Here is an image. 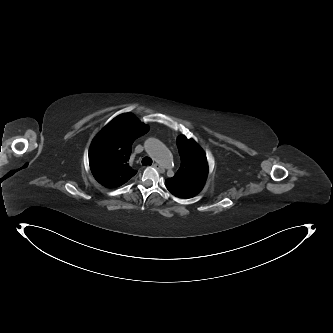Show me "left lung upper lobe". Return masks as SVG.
Returning <instances> with one entry per match:
<instances>
[{"mask_svg":"<svg viewBox=\"0 0 333 333\" xmlns=\"http://www.w3.org/2000/svg\"><path fill=\"white\" fill-rule=\"evenodd\" d=\"M181 166L177 173L166 180V188L179 198H192L203 188L207 175L208 163L201 147L184 135L177 138Z\"/></svg>","mask_w":333,"mask_h":333,"instance_id":"left-lung-upper-lobe-1","label":"left lung upper lobe"}]
</instances>
